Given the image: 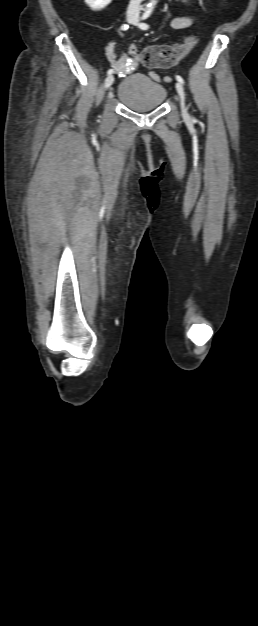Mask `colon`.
Returning <instances> with one entry per match:
<instances>
[{"label":"colon","mask_w":258,"mask_h":626,"mask_svg":"<svg viewBox=\"0 0 258 626\" xmlns=\"http://www.w3.org/2000/svg\"><path fill=\"white\" fill-rule=\"evenodd\" d=\"M197 39L191 37L184 43L175 46L156 45L144 49L141 53L135 45L130 46V52L139 55L144 66L148 68L167 69L172 67L178 60L186 57L195 47Z\"/></svg>","instance_id":"colon-1"}]
</instances>
